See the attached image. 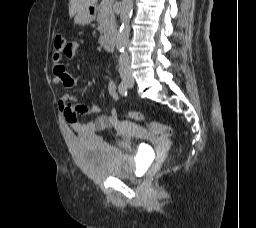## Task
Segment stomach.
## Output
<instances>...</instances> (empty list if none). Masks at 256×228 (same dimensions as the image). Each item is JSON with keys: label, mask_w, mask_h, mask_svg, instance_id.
Masks as SVG:
<instances>
[{"label": "stomach", "mask_w": 256, "mask_h": 228, "mask_svg": "<svg viewBox=\"0 0 256 228\" xmlns=\"http://www.w3.org/2000/svg\"><path fill=\"white\" fill-rule=\"evenodd\" d=\"M95 19V11L93 7H86L79 10L74 17V23L78 25H86Z\"/></svg>", "instance_id": "0dacf381"}]
</instances>
